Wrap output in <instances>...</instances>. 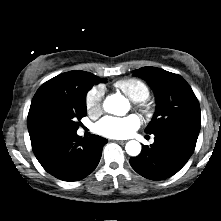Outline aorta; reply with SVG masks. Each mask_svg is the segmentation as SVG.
<instances>
[{
	"mask_svg": "<svg viewBox=\"0 0 221 221\" xmlns=\"http://www.w3.org/2000/svg\"><path fill=\"white\" fill-rule=\"evenodd\" d=\"M129 103L120 94H113L106 97L103 107L104 110L111 114L122 115L128 110ZM125 150L130 156H137L141 152V144L136 140H130L126 143Z\"/></svg>",
	"mask_w": 221,
	"mask_h": 221,
	"instance_id": "aorta-1",
	"label": "aorta"
}]
</instances>
